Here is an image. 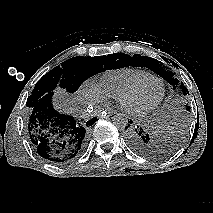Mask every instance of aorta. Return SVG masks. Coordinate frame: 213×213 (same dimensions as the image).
Returning <instances> with one entry per match:
<instances>
[{"label":"aorta","mask_w":213,"mask_h":213,"mask_svg":"<svg viewBox=\"0 0 213 213\" xmlns=\"http://www.w3.org/2000/svg\"><path fill=\"white\" fill-rule=\"evenodd\" d=\"M113 123L117 128L124 130L128 126V118L122 113L116 114L113 117Z\"/></svg>","instance_id":"obj_1"}]
</instances>
